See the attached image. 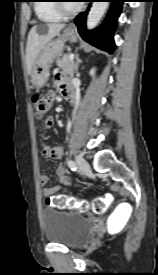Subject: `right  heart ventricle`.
<instances>
[{"label": "right heart ventricle", "mask_w": 158, "mask_h": 275, "mask_svg": "<svg viewBox=\"0 0 158 275\" xmlns=\"http://www.w3.org/2000/svg\"><path fill=\"white\" fill-rule=\"evenodd\" d=\"M55 0H39L35 5V11L39 19L45 22H58L62 15L57 11Z\"/></svg>", "instance_id": "right-heart-ventricle-1"}]
</instances>
